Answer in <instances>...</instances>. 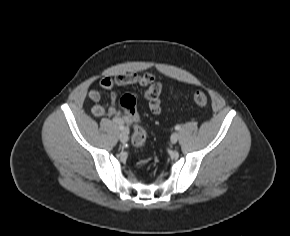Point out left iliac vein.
Here are the masks:
<instances>
[{"mask_svg": "<svg viewBox=\"0 0 290 236\" xmlns=\"http://www.w3.org/2000/svg\"><path fill=\"white\" fill-rule=\"evenodd\" d=\"M179 139V134L177 132H174L171 137H170V141L171 143L175 144Z\"/></svg>", "mask_w": 290, "mask_h": 236, "instance_id": "1", "label": "left iliac vein"}]
</instances>
